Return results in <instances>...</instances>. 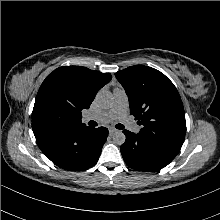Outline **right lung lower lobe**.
I'll return each instance as SVG.
<instances>
[{
	"mask_svg": "<svg viewBox=\"0 0 220 220\" xmlns=\"http://www.w3.org/2000/svg\"><path fill=\"white\" fill-rule=\"evenodd\" d=\"M105 127H85L36 139L42 152L57 166L81 171L96 164L107 139Z\"/></svg>",
	"mask_w": 220,
	"mask_h": 220,
	"instance_id": "98d812e1",
	"label": "right lung lower lobe"
}]
</instances>
